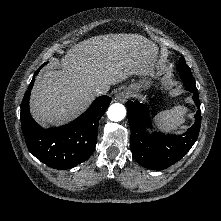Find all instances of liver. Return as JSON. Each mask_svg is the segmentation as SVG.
Instances as JSON below:
<instances>
[{
  "label": "liver",
  "instance_id": "obj_1",
  "mask_svg": "<svg viewBox=\"0 0 221 221\" xmlns=\"http://www.w3.org/2000/svg\"><path fill=\"white\" fill-rule=\"evenodd\" d=\"M156 47L138 34H107L84 40L61 59L58 70H45L36 79L30 110L41 125H61L82 113L96 89L132 75L151 71Z\"/></svg>",
  "mask_w": 221,
  "mask_h": 221
}]
</instances>
